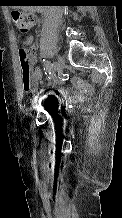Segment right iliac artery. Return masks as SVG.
<instances>
[{"instance_id":"obj_1","label":"right iliac artery","mask_w":122,"mask_h":218,"mask_svg":"<svg viewBox=\"0 0 122 218\" xmlns=\"http://www.w3.org/2000/svg\"><path fill=\"white\" fill-rule=\"evenodd\" d=\"M47 68L50 72H53L54 71V64L47 62Z\"/></svg>"}]
</instances>
